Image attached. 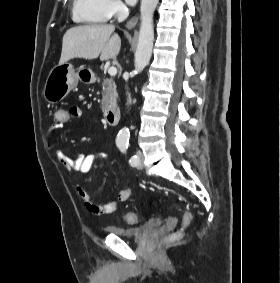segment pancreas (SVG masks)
Returning a JSON list of instances; mask_svg holds the SVG:
<instances>
[{
    "instance_id": "obj_1",
    "label": "pancreas",
    "mask_w": 280,
    "mask_h": 283,
    "mask_svg": "<svg viewBox=\"0 0 280 283\" xmlns=\"http://www.w3.org/2000/svg\"><path fill=\"white\" fill-rule=\"evenodd\" d=\"M102 101L101 109L106 111L116 105L117 91L116 85L112 78L104 79L102 84Z\"/></svg>"
}]
</instances>
